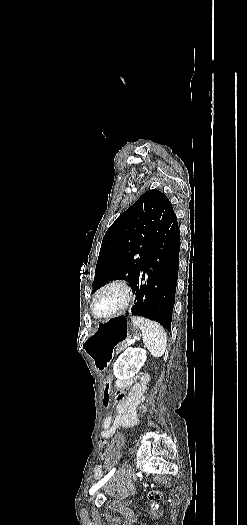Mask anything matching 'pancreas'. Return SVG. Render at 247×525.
<instances>
[{
	"instance_id": "pancreas-1",
	"label": "pancreas",
	"mask_w": 247,
	"mask_h": 525,
	"mask_svg": "<svg viewBox=\"0 0 247 525\" xmlns=\"http://www.w3.org/2000/svg\"><path fill=\"white\" fill-rule=\"evenodd\" d=\"M124 347H127V346L124 345ZM124 347H119V346L113 347V352H116V353L124 352Z\"/></svg>"
}]
</instances>
